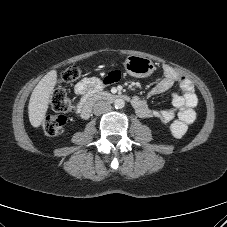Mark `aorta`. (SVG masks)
I'll return each instance as SVG.
<instances>
[{
    "mask_svg": "<svg viewBox=\"0 0 227 227\" xmlns=\"http://www.w3.org/2000/svg\"><path fill=\"white\" fill-rule=\"evenodd\" d=\"M114 106L116 109H122L125 106V101L123 99H116L114 101Z\"/></svg>",
    "mask_w": 227,
    "mask_h": 227,
    "instance_id": "1",
    "label": "aorta"
}]
</instances>
